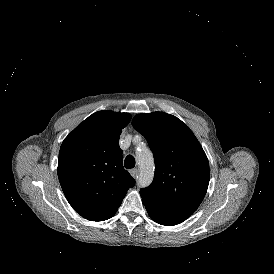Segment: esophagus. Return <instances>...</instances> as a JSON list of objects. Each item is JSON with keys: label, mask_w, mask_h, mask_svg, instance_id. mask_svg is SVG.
Wrapping results in <instances>:
<instances>
[{"label": "esophagus", "mask_w": 274, "mask_h": 274, "mask_svg": "<svg viewBox=\"0 0 274 274\" xmlns=\"http://www.w3.org/2000/svg\"><path fill=\"white\" fill-rule=\"evenodd\" d=\"M130 174L134 177L137 178L139 175V170L137 168L131 169Z\"/></svg>", "instance_id": "obj_1"}]
</instances>
